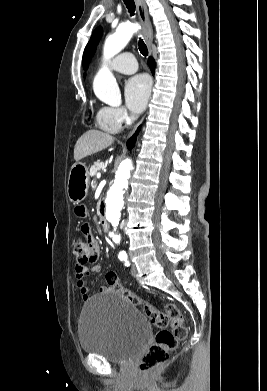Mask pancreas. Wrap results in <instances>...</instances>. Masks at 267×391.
<instances>
[{"mask_svg": "<svg viewBox=\"0 0 267 391\" xmlns=\"http://www.w3.org/2000/svg\"><path fill=\"white\" fill-rule=\"evenodd\" d=\"M103 167V162H100V161H97L94 163V165L90 168V172L89 174L91 176H96V174L98 173V171Z\"/></svg>", "mask_w": 267, "mask_h": 391, "instance_id": "1", "label": "pancreas"}]
</instances>
